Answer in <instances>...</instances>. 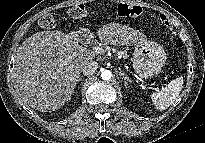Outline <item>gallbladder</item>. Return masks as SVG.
Here are the masks:
<instances>
[{
	"label": "gallbladder",
	"mask_w": 205,
	"mask_h": 143,
	"mask_svg": "<svg viewBox=\"0 0 205 143\" xmlns=\"http://www.w3.org/2000/svg\"><path fill=\"white\" fill-rule=\"evenodd\" d=\"M85 34V35H84ZM89 32H83L81 31V34H80V39L83 40L85 37H88L89 35Z\"/></svg>",
	"instance_id": "gallbladder-1"
}]
</instances>
